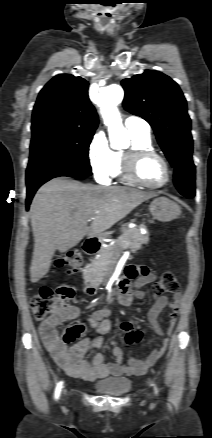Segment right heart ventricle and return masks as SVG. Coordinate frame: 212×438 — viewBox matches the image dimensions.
<instances>
[{
  "label": "right heart ventricle",
  "mask_w": 212,
  "mask_h": 438,
  "mask_svg": "<svg viewBox=\"0 0 212 438\" xmlns=\"http://www.w3.org/2000/svg\"><path fill=\"white\" fill-rule=\"evenodd\" d=\"M131 138V148H147L153 150V143L150 135H141L129 132ZM125 152L121 151H113V170L111 173V177H118L121 180L126 181L127 179L123 174V160H124Z\"/></svg>",
  "instance_id": "right-heart-ventricle-1"
}]
</instances>
